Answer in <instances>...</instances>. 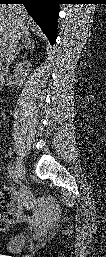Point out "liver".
Returning <instances> with one entry per match:
<instances>
[{"label": "liver", "instance_id": "1", "mask_svg": "<svg viewBox=\"0 0 106 257\" xmlns=\"http://www.w3.org/2000/svg\"><path fill=\"white\" fill-rule=\"evenodd\" d=\"M32 18L21 5L0 7V46L4 47L12 34L21 37L29 35Z\"/></svg>", "mask_w": 106, "mask_h": 257}]
</instances>
